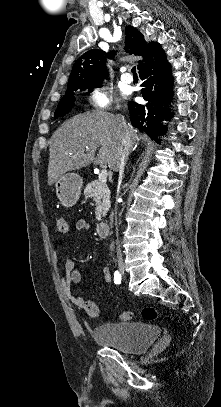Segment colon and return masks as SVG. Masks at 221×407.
<instances>
[{"label":"colon","instance_id":"obj_1","mask_svg":"<svg viewBox=\"0 0 221 407\" xmlns=\"http://www.w3.org/2000/svg\"><path fill=\"white\" fill-rule=\"evenodd\" d=\"M56 233L59 235H64L68 232L69 227H68V222L67 219L63 216H60L56 220V226H55ZM84 309L87 312V314L91 317H98L100 314L99 308L95 303H93L90 300L85 301L84 303ZM142 318L146 321H153L159 317V312L155 307L152 306H147L144 307L141 311ZM119 318L123 321H127L131 319V313L128 311H122L119 314Z\"/></svg>","mask_w":221,"mask_h":407}]
</instances>
